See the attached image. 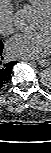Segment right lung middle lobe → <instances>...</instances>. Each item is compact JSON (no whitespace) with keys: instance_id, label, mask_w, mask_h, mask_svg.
Listing matches in <instances>:
<instances>
[{"instance_id":"obj_1","label":"right lung middle lobe","mask_w":51,"mask_h":153,"mask_svg":"<svg viewBox=\"0 0 51 153\" xmlns=\"http://www.w3.org/2000/svg\"><path fill=\"white\" fill-rule=\"evenodd\" d=\"M2 45V42H1V40H0V46Z\"/></svg>"}]
</instances>
